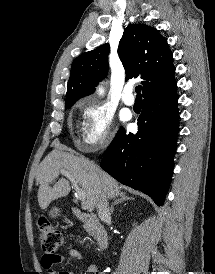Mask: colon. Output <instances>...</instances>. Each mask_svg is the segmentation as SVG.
<instances>
[{"label":"colon","instance_id":"1","mask_svg":"<svg viewBox=\"0 0 215 274\" xmlns=\"http://www.w3.org/2000/svg\"><path fill=\"white\" fill-rule=\"evenodd\" d=\"M37 224L39 239L43 250L46 253L55 254L56 250L63 244L61 232L56 229L45 216H40Z\"/></svg>","mask_w":215,"mask_h":274}]
</instances>
